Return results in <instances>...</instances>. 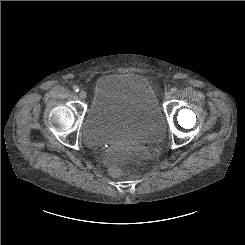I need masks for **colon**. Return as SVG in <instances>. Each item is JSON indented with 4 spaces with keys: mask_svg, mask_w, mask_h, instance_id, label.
<instances>
[{
    "mask_svg": "<svg viewBox=\"0 0 245 245\" xmlns=\"http://www.w3.org/2000/svg\"><path fill=\"white\" fill-rule=\"evenodd\" d=\"M132 167L133 168L139 167V163H137V162L134 163L132 165ZM109 171H110V174L113 175V176H119V175L122 174V169L119 166H117V165L111 166L110 169H109Z\"/></svg>",
    "mask_w": 245,
    "mask_h": 245,
    "instance_id": "1",
    "label": "colon"
}]
</instances>
